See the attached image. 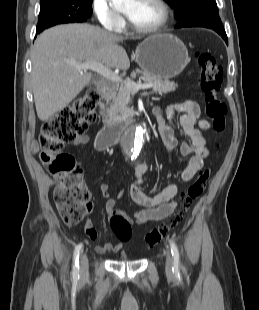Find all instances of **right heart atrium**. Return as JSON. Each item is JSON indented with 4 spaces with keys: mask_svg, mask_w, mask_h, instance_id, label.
<instances>
[{
    "mask_svg": "<svg viewBox=\"0 0 259 310\" xmlns=\"http://www.w3.org/2000/svg\"><path fill=\"white\" fill-rule=\"evenodd\" d=\"M93 12L103 27L112 31H120L125 27V20L114 11L107 0H93Z\"/></svg>",
    "mask_w": 259,
    "mask_h": 310,
    "instance_id": "obj_1",
    "label": "right heart atrium"
}]
</instances>
